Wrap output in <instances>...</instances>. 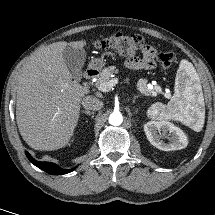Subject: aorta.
Masks as SVG:
<instances>
[{
    "mask_svg": "<svg viewBox=\"0 0 215 215\" xmlns=\"http://www.w3.org/2000/svg\"><path fill=\"white\" fill-rule=\"evenodd\" d=\"M122 122H123V117H122L121 113H119V112H113L109 116V123L113 126H118V125L122 124Z\"/></svg>",
    "mask_w": 215,
    "mask_h": 215,
    "instance_id": "1",
    "label": "aorta"
}]
</instances>
